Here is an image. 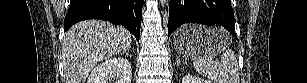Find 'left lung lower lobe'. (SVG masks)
<instances>
[{"label":"left lung lower lobe","instance_id":"0a47b994","mask_svg":"<svg viewBox=\"0 0 307 83\" xmlns=\"http://www.w3.org/2000/svg\"><path fill=\"white\" fill-rule=\"evenodd\" d=\"M184 23L221 25L237 38L231 0H170L169 36Z\"/></svg>","mask_w":307,"mask_h":83}]
</instances>
